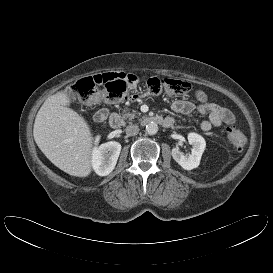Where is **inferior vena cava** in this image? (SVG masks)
Masks as SVG:
<instances>
[{
    "instance_id": "obj_1",
    "label": "inferior vena cava",
    "mask_w": 273,
    "mask_h": 273,
    "mask_svg": "<svg viewBox=\"0 0 273 273\" xmlns=\"http://www.w3.org/2000/svg\"><path fill=\"white\" fill-rule=\"evenodd\" d=\"M125 130L129 136H135L139 133V127L135 124L128 125Z\"/></svg>"
}]
</instances>
